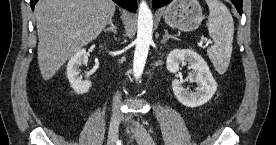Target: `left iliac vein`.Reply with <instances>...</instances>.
Masks as SVG:
<instances>
[{"label":"left iliac vein","mask_w":276,"mask_h":145,"mask_svg":"<svg viewBox=\"0 0 276 145\" xmlns=\"http://www.w3.org/2000/svg\"><path fill=\"white\" fill-rule=\"evenodd\" d=\"M127 120H131V118H127ZM134 125L133 134L136 138V141L140 145H153L154 141L150 133L142 127L138 122L132 121Z\"/></svg>","instance_id":"obj_1"}]
</instances>
